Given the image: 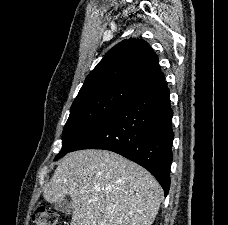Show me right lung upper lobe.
I'll return each mask as SVG.
<instances>
[{"label": "right lung upper lobe", "instance_id": "obj_1", "mask_svg": "<svg viewBox=\"0 0 228 225\" xmlns=\"http://www.w3.org/2000/svg\"><path fill=\"white\" fill-rule=\"evenodd\" d=\"M161 73L158 57L148 43L130 38L108 51L87 76L79 93L111 82H123L141 89Z\"/></svg>", "mask_w": 228, "mask_h": 225}]
</instances>
